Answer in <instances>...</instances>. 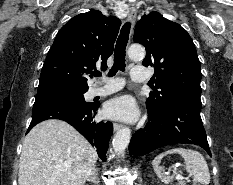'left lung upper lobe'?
I'll return each instance as SVG.
<instances>
[{"label": "left lung upper lobe", "mask_w": 233, "mask_h": 185, "mask_svg": "<svg viewBox=\"0 0 233 185\" xmlns=\"http://www.w3.org/2000/svg\"><path fill=\"white\" fill-rule=\"evenodd\" d=\"M134 41L145 46L142 64L155 68L146 105L149 112L161 113L174 99L188 92L201 93V66L195 45L179 24L151 12L137 22Z\"/></svg>", "instance_id": "5c2ea615"}]
</instances>
